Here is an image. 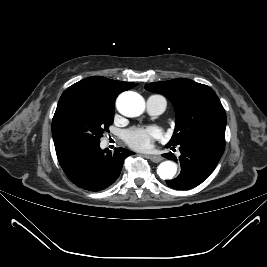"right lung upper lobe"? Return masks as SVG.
Instances as JSON below:
<instances>
[{
	"mask_svg": "<svg viewBox=\"0 0 267 267\" xmlns=\"http://www.w3.org/2000/svg\"><path fill=\"white\" fill-rule=\"evenodd\" d=\"M136 85L137 84L133 82H122L111 80L102 76H93L73 84L66 89L65 92L79 88H88L98 92L106 100L115 103L116 97L121 92L129 90Z\"/></svg>",
	"mask_w": 267,
	"mask_h": 267,
	"instance_id": "1",
	"label": "right lung upper lobe"
}]
</instances>
